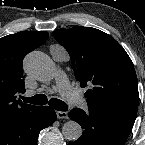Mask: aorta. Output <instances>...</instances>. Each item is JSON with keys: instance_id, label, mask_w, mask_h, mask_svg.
<instances>
[{"instance_id": "762f6f07", "label": "aorta", "mask_w": 145, "mask_h": 145, "mask_svg": "<svg viewBox=\"0 0 145 145\" xmlns=\"http://www.w3.org/2000/svg\"><path fill=\"white\" fill-rule=\"evenodd\" d=\"M24 69L28 75L40 81L53 79L56 72L53 61L40 51H33L25 57ZM62 134L69 141H75L81 137L82 128L77 122L70 120L64 123Z\"/></svg>"}]
</instances>
